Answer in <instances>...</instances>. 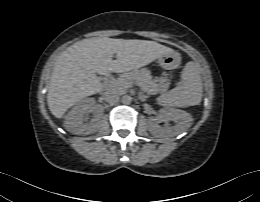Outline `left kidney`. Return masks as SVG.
<instances>
[{"label": "left kidney", "mask_w": 260, "mask_h": 202, "mask_svg": "<svg viewBox=\"0 0 260 202\" xmlns=\"http://www.w3.org/2000/svg\"><path fill=\"white\" fill-rule=\"evenodd\" d=\"M160 117H149L148 119V129L150 133L157 137H165L169 135H177L181 133L187 126L190 121V116L188 113L178 110V109H161ZM174 121L177 124L173 127H161L158 124L161 122Z\"/></svg>", "instance_id": "5707ae66"}]
</instances>
